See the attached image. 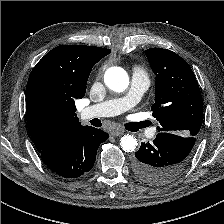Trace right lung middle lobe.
<instances>
[{
    "label": "right lung middle lobe",
    "instance_id": "right-lung-middle-lobe-1",
    "mask_svg": "<svg viewBox=\"0 0 224 224\" xmlns=\"http://www.w3.org/2000/svg\"><path fill=\"white\" fill-rule=\"evenodd\" d=\"M45 101H46V95H45V94H42V95L40 96V102H41L42 104H45Z\"/></svg>",
    "mask_w": 224,
    "mask_h": 224
}]
</instances>
